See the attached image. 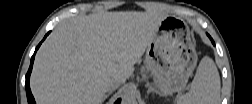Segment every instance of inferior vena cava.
I'll list each match as a JSON object with an SVG mask.
<instances>
[{"label":"inferior vena cava","instance_id":"602c4592","mask_svg":"<svg viewBox=\"0 0 252 104\" xmlns=\"http://www.w3.org/2000/svg\"><path fill=\"white\" fill-rule=\"evenodd\" d=\"M121 83H122V81L120 79L110 80L107 84V91L112 92V91L116 90L120 86Z\"/></svg>","mask_w":252,"mask_h":104}]
</instances>
